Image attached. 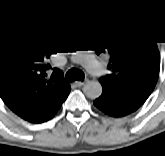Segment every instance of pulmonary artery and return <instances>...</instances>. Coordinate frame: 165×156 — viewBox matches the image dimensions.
<instances>
[{"mask_svg": "<svg viewBox=\"0 0 165 156\" xmlns=\"http://www.w3.org/2000/svg\"><path fill=\"white\" fill-rule=\"evenodd\" d=\"M77 60L86 67L89 71L95 72L96 71V65L90 61L87 55H77Z\"/></svg>", "mask_w": 165, "mask_h": 156, "instance_id": "pulmonary-artery-1", "label": "pulmonary artery"}]
</instances>
